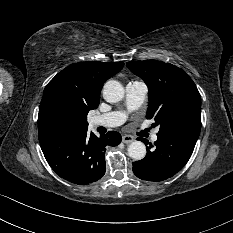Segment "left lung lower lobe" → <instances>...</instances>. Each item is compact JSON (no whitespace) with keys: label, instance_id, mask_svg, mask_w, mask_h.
I'll return each mask as SVG.
<instances>
[{"label":"left lung lower lobe","instance_id":"0a47b994","mask_svg":"<svg viewBox=\"0 0 233 233\" xmlns=\"http://www.w3.org/2000/svg\"><path fill=\"white\" fill-rule=\"evenodd\" d=\"M200 130L183 129L171 134L158 135L154 146L140 138L147 147V155L133 162L134 174L143 180L162 181L181 170L192 155ZM153 148V150H152Z\"/></svg>","mask_w":233,"mask_h":233}]
</instances>
